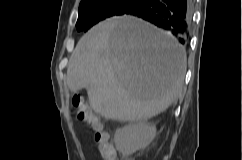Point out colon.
I'll list each match as a JSON object with an SVG mask.
<instances>
[{"label":"colon","instance_id":"colon-1","mask_svg":"<svg viewBox=\"0 0 242 160\" xmlns=\"http://www.w3.org/2000/svg\"><path fill=\"white\" fill-rule=\"evenodd\" d=\"M73 106L77 118L87 124L95 133L94 142L103 160H116L113 146L109 142V135L104 130L102 122L92 112L81 96H74Z\"/></svg>","mask_w":242,"mask_h":160}]
</instances>
